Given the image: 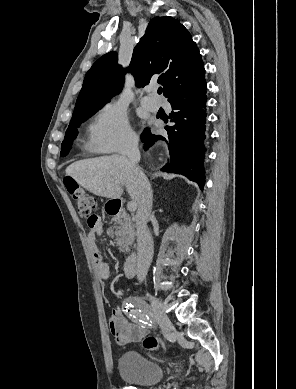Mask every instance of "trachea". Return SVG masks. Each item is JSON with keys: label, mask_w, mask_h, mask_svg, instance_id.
<instances>
[{"label": "trachea", "mask_w": 296, "mask_h": 389, "mask_svg": "<svg viewBox=\"0 0 296 389\" xmlns=\"http://www.w3.org/2000/svg\"><path fill=\"white\" fill-rule=\"evenodd\" d=\"M157 92H158V94H162V88L159 87Z\"/></svg>", "instance_id": "3493384b"}]
</instances>
